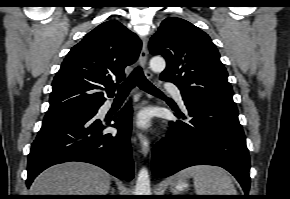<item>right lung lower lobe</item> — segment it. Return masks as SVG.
I'll list each match as a JSON object with an SVG mask.
<instances>
[{"mask_svg":"<svg viewBox=\"0 0 290 199\" xmlns=\"http://www.w3.org/2000/svg\"><path fill=\"white\" fill-rule=\"evenodd\" d=\"M96 113L43 121L28 157V188L43 170L67 161L97 165L126 181L133 178L131 106L128 104L118 112L112 119L115 121L112 125L111 120L105 122L96 119ZM107 127H115L117 132L104 133Z\"/></svg>","mask_w":290,"mask_h":199,"instance_id":"obj_1","label":"right lung lower lobe"}]
</instances>
